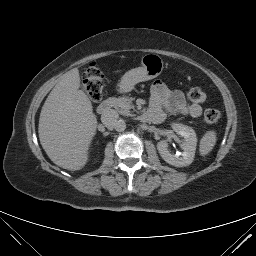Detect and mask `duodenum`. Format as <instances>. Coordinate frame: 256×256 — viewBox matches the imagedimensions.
I'll return each instance as SVG.
<instances>
[{
  "label": "duodenum",
  "mask_w": 256,
  "mask_h": 256,
  "mask_svg": "<svg viewBox=\"0 0 256 256\" xmlns=\"http://www.w3.org/2000/svg\"><path fill=\"white\" fill-rule=\"evenodd\" d=\"M112 108V101L111 100H105L101 102L97 107V112L101 115L108 113ZM145 119H148L147 113L144 115Z\"/></svg>",
  "instance_id": "duodenum-1"
}]
</instances>
